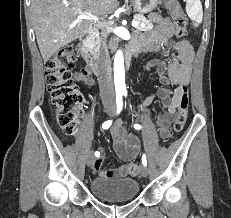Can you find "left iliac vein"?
<instances>
[{"label": "left iliac vein", "instance_id": "1", "mask_svg": "<svg viewBox=\"0 0 231 218\" xmlns=\"http://www.w3.org/2000/svg\"><path fill=\"white\" fill-rule=\"evenodd\" d=\"M140 171H141V175L143 176V177H147L148 176V168L143 164V165H141V167H140Z\"/></svg>", "mask_w": 231, "mask_h": 218}]
</instances>
